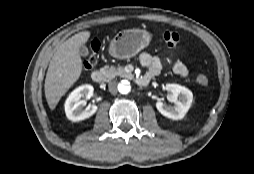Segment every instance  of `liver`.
<instances>
[{
	"instance_id": "obj_1",
	"label": "liver",
	"mask_w": 254,
	"mask_h": 174,
	"mask_svg": "<svg viewBox=\"0 0 254 174\" xmlns=\"http://www.w3.org/2000/svg\"><path fill=\"white\" fill-rule=\"evenodd\" d=\"M91 33L82 31L62 43L53 55L45 78V97L48 106L54 110L61 97L79 79L82 73V59L79 48Z\"/></svg>"
}]
</instances>
